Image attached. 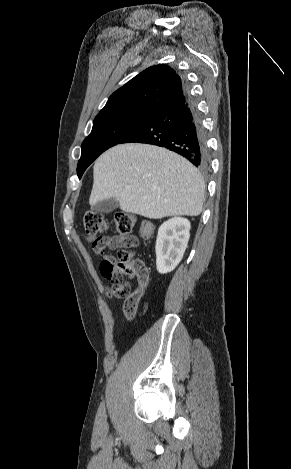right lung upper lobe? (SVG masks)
<instances>
[{
	"label": "right lung upper lobe",
	"mask_w": 291,
	"mask_h": 469,
	"mask_svg": "<svg viewBox=\"0 0 291 469\" xmlns=\"http://www.w3.org/2000/svg\"><path fill=\"white\" fill-rule=\"evenodd\" d=\"M184 90L183 79L171 67L151 66L115 91L96 117L126 110L155 112Z\"/></svg>",
	"instance_id": "1"
}]
</instances>
